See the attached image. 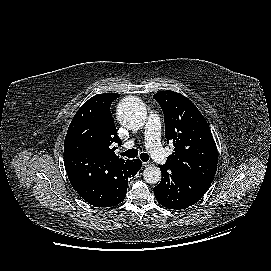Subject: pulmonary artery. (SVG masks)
<instances>
[{
  "label": "pulmonary artery",
  "instance_id": "e3ab8cb5",
  "mask_svg": "<svg viewBox=\"0 0 271 271\" xmlns=\"http://www.w3.org/2000/svg\"><path fill=\"white\" fill-rule=\"evenodd\" d=\"M161 124L160 118L156 114H150L145 124V145L152 158L160 164L167 161V153L160 143ZM134 145V141L127 142L124 147L129 148Z\"/></svg>",
  "mask_w": 271,
  "mask_h": 271
}]
</instances>
